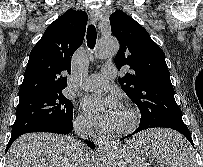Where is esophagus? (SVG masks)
<instances>
[{"instance_id":"1","label":"esophagus","mask_w":203,"mask_h":167,"mask_svg":"<svg viewBox=\"0 0 203 167\" xmlns=\"http://www.w3.org/2000/svg\"><path fill=\"white\" fill-rule=\"evenodd\" d=\"M90 17L94 22H97L100 17V13L97 9L90 10ZM113 146V142L106 137H101L97 141V149L99 152H107Z\"/></svg>"}]
</instances>
